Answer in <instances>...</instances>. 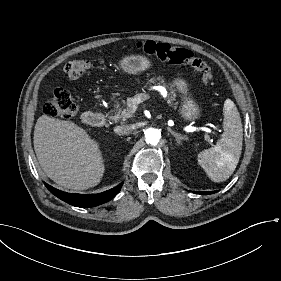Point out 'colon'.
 I'll return each mask as SVG.
<instances>
[{
  "mask_svg": "<svg viewBox=\"0 0 281 281\" xmlns=\"http://www.w3.org/2000/svg\"><path fill=\"white\" fill-rule=\"evenodd\" d=\"M137 51L156 57L161 62L171 64H189L199 71L204 80L210 81L212 73L210 67L200 58L194 56L187 49L173 47L167 43L154 41H137L134 43ZM91 66V61L87 57L73 59L64 66L65 74L71 79L85 76ZM77 111V106L67 91H57L47 100L45 112L49 117H58L65 120L72 119Z\"/></svg>",
  "mask_w": 281,
  "mask_h": 281,
  "instance_id": "5ec220e1",
  "label": "colon"
}]
</instances>
